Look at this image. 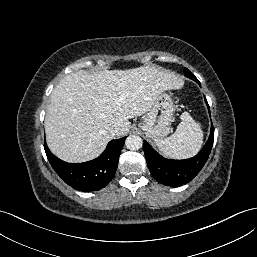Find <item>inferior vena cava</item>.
Returning <instances> with one entry per match:
<instances>
[{
    "label": "inferior vena cava",
    "instance_id": "602c4592",
    "mask_svg": "<svg viewBox=\"0 0 257 257\" xmlns=\"http://www.w3.org/2000/svg\"><path fill=\"white\" fill-rule=\"evenodd\" d=\"M109 133L111 136H115L118 133V128H110Z\"/></svg>",
    "mask_w": 257,
    "mask_h": 257
}]
</instances>
